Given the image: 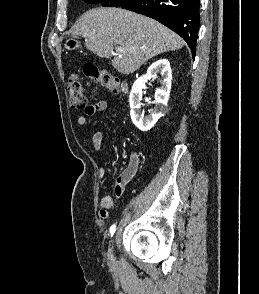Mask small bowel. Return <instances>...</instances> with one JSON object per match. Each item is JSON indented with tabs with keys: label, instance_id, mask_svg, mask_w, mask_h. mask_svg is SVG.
Instances as JSON below:
<instances>
[{
	"label": "small bowel",
	"instance_id": "c3829d8e",
	"mask_svg": "<svg viewBox=\"0 0 259 294\" xmlns=\"http://www.w3.org/2000/svg\"><path fill=\"white\" fill-rule=\"evenodd\" d=\"M107 102L104 100H98L93 104H90L85 109V114L87 116H94L99 112L106 110ZM77 123L79 125H85L87 123L86 116H79L77 118ZM90 139L92 145L95 150L102 151L103 149V133L101 131H96L95 133L90 135ZM139 165L138 155L133 154L130 157L129 163L127 167L123 170V172L119 175L116 180L114 186L115 195L120 198L124 193V187L129 182V180L135 175L137 168ZM106 175V170L104 168H100L98 171L99 178H104ZM113 207V199L110 196L102 197L100 201V217L102 219H107L109 217V211Z\"/></svg>",
	"mask_w": 259,
	"mask_h": 294
}]
</instances>
